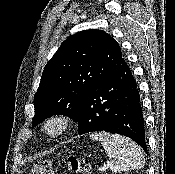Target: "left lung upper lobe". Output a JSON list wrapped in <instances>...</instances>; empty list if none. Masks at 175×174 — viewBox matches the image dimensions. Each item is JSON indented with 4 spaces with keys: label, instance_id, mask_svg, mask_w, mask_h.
<instances>
[{
    "label": "left lung upper lobe",
    "instance_id": "1",
    "mask_svg": "<svg viewBox=\"0 0 175 174\" xmlns=\"http://www.w3.org/2000/svg\"><path fill=\"white\" fill-rule=\"evenodd\" d=\"M122 52L101 30H84L65 40L46 64L34 96L32 127L56 114L76 121L84 95L114 69Z\"/></svg>",
    "mask_w": 175,
    "mask_h": 174
}]
</instances>
